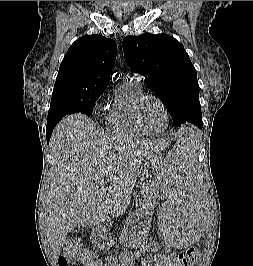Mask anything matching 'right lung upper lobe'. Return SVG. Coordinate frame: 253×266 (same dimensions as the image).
Listing matches in <instances>:
<instances>
[{"instance_id":"1","label":"right lung upper lobe","mask_w":253,"mask_h":266,"mask_svg":"<svg viewBox=\"0 0 253 266\" xmlns=\"http://www.w3.org/2000/svg\"><path fill=\"white\" fill-rule=\"evenodd\" d=\"M116 51V42L99 34L77 39L60 64L52 98L103 92L111 79Z\"/></svg>"}]
</instances>
